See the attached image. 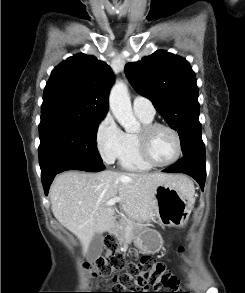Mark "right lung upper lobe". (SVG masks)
<instances>
[{"label": "right lung upper lobe", "instance_id": "cb5924a9", "mask_svg": "<svg viewBox=\"0 0 245 293\" xmlns=\"http://www.w3.org/2000/svg\"><path fill=\"white\" fill-rule=\"evenodd\" d=\"M114 76L96 57L77 54L59 64L46 84L41 114L59 112L102 118Z\"/></svg>", "mask_w": 245, "mask_h": 293}]
</instances>
